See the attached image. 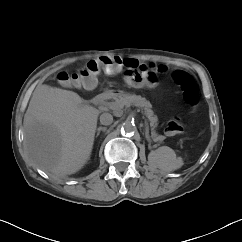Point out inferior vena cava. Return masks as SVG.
Segmentation results:
<instances>
[{"mask_svg":"<svg viewBox=\"0 0 242 242\" xmlns=\"http://www.w3.org/2000/svg\"><path fill=\"white\" fill-rule=\"evenodd\" d=\"M113 122V116L110 113L104 112L100 115V123L102 125H110Z\"/></svg>","mask_w":242,"mask_h":242,"instance_id":"obj_1","label":"inferior vena cava"}]
</instances>
